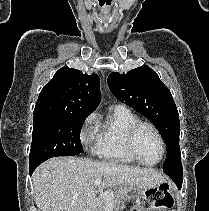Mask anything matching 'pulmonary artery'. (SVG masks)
<instances>
[{"label": "pulmonary artery", "instance_id": "1", "mask_svg": "<svg viewBox=\"0 0 209 211\" xmlns=\"http://www.w3.org/2000/svg\"><path fill=\"white\" fill-rule=\"evenodd\" d=\"M114 109H126L124 105H115L113 106Z\"/></svg>", "mask_w": 209, "mask_h": 211}]
</instances>
